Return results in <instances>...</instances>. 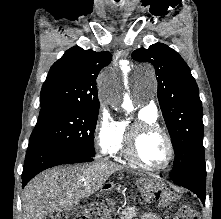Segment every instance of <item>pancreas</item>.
<instances>
[{
  "mask_svg": "<svg viewBox=\"0 0 221 219\" xmlns=\"http://www.w3.org/2000/svg\"><path fill=\"white\" fill-rule=\"evenodd\" d=\"M137 216V209L133 207H127L121 212L120 219H133Z\"/></svg>",
  "mask_w": 221,
  "mask_h": 219,
  "instance_id": "obj_1",
  "label": "pancreas"
}]
</instances>
